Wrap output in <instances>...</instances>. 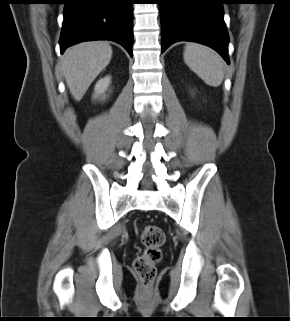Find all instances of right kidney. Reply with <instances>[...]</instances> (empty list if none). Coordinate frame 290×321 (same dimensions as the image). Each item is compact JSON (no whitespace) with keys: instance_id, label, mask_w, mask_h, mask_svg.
I'll use <instances>...</instances> for the list:
<instances>
[{"instance_id":"right-kidney-1","label":"right kidney","mask_w":290,"mask_h":321,"mask_svg":"<svg viewBox=\"0 0 290 321\" xmlns=\"http://www.w3.org/2000/svg\"><path fill=\"white\" fill-rule=\"evenodd\" d=\"M111 83V76H105L104 78H101L94 87V93L93 98H99L100 96L104 99L105 93L108 90V87Z\"/></svg>"}]
</instances>
